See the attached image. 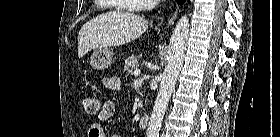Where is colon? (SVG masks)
I'll list each match as a JSON object with an SVG mask.
<instances>
[{"instance_id":"1","label":"colon","mask_w":280,"mask_h":137,"mask_svg":"<svg viewBox=\"0 0 280 137\" xmlns=\"http://www.w3.org/2000/svg\"><path fill=\"white\" fill-rule=\"evenodd\" d=\"M82 106L87 114L93 115L98 112L99 101L92 96H85L82 98Z\"/></svg>"}]
</instances>
